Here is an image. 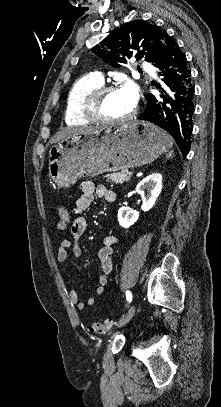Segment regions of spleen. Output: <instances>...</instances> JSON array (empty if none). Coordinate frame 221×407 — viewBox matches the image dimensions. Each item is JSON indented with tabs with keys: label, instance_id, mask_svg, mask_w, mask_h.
Returning a JSON list of instances; mask_svg holds the SVG:
<instances>
[{
	"label": "spleen",
	"instance_id": "1",
	"mask_svg": "<svg viewBox=\"0 0 221 407\" xmlns=\"http://www.w3.org/2000/svg\"><path fill=\"white\" fill-rule=\"evenodd\" d=\"M172 155H173V150H171L170 152H168V154L166 155V158H167V159L172 158Z\"/></svg>",
	"mask_w": 221,
	"mask_h": 407
}]
</instances>
